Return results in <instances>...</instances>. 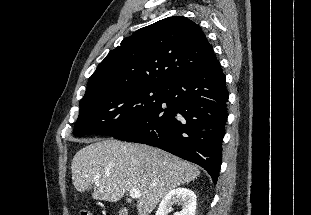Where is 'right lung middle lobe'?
<instances>
[{
    "instance_id": "1",
    "label": "right lung middle lobe",
    "mask_w": 311,
    "mask_h": 215,
    "mask_svg": "<svg viewBox=\"0 0 311 215\" xmlns=\"http://www.w3.org/2000/svg\"><path fill=\"white\" fill-rule=\"evenodd\" d=\"M163 86L131 87L81 99L75 136H115L151 114L161 104Z\"/></svg>"
}]
</instances>
